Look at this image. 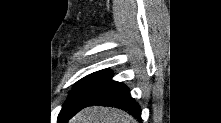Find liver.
<instances>
[{
    "instance_id": "obj_1",
    "label": "liver",
    "mask_w": 221,
    "mask_h": 123,
    "mask_svg": "<svg viewBox=\"0 0 221 123\" xmlns=\"http://www.w3.org/2000/svg\"><path fill=\"white\" fill-rule=\"evenodd\" d=\"M70 123H137V121L122 110L93 106L80 111Z\"/></svg>"
}]
</instances>
